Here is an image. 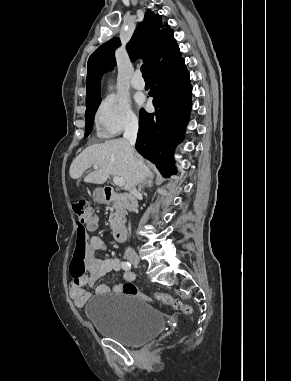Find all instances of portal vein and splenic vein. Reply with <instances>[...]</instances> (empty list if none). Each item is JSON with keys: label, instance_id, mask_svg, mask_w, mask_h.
<instances>
[{"label": "portal vein and splenic vein", "instance_id": "obj_1", "mask_svg": "<svg viewBox=\"0 0 291 381\" xmlns=\"http://www.w3.org/2000/svg\"><path fill=\"white\" fill-rule=\"evenodd\" d=\"M98 168V165H94V169H97ZM113 181H114V183L117 185V186H124V184H125V181H124V179L123 178H120V177H118V176H114V178H113Z\"/></svg>", "mask_w": 291, "mask_h": 381}]
</instances>
